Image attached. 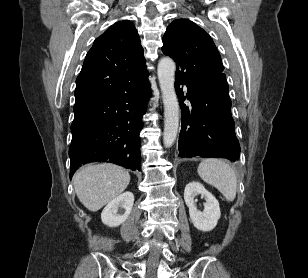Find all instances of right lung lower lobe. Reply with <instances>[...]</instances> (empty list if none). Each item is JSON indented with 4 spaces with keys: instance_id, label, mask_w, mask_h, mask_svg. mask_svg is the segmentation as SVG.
<instances>
[{
    "instance_id": "1",
    "label": "right lung lower lobe",
    "mask_w": 308,
    "mask_h": 278,
    "mask_svg": "<svg viewBox=\"0 0 308 278\" xmlns=\"http://www.w3.org/2000/svg\"><path fill=\"white\" fill-rule=\"evenodd\" d=\"M150 96L148 76L117 96L74 106L70 178L81 164L107 161L141 170V117Z\"/></svg>"
}]
</instances>
